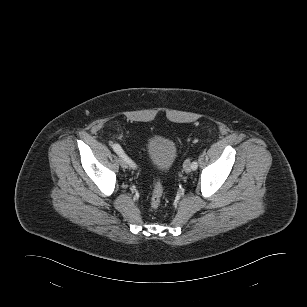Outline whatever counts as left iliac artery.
<instances>
[{"mask_svg": "<svg viewBox=\"0 0 307 307\" xmlns=\"http://www.w3.org/2000/svg\"><path fill=\"white\" fill-rule=\"evenodd\" d=\"M197 167H198L197 161H193L192 164H191V168H192L193 170H196Z\"/></svg>", "mask_w": 307, "mask_h": 307, "instance_id": "1", "label": "left iliac artery"}]
</instances>
